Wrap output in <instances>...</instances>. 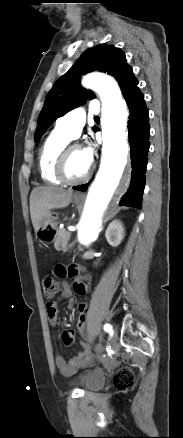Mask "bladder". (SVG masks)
Wrapping results in <instances>:
<instances>
[{
  "instance_id": "1",
  "label": "bladder",
  "mask_w": 183,
  "mask_h": 438,
  "mask_svg": "<svg viewBox=\"0 0 183 438\" xmlns=\"http://www.w3.org/2000/svg\"><path fill=\"white\" fill-rule=\"evenodd\" d=\"M80 380L85 390L99 389L105 383L104 375L96 372H86L81 375Z\"/></svg>"
}]
</instances>
